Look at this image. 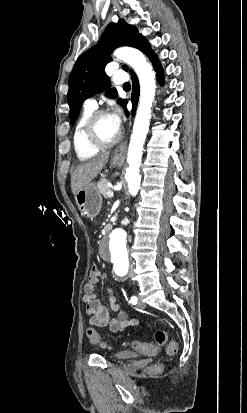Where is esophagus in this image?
Segmentation results:
<instances>
[{
  "label": "esophagus",
  "instance_id": "1",
  "mask_svg": "<svg viewBox=\"0 0 247 413\" xmlns=\"http://www.w3.org/2000/svg\"><path fill=\"white\" fill-rule=\"evenodd\" d=\"M126 150H127V140L123 141L122 143H120V145H118L115 150H114V155L121 159L124 160L125 156H126Z\"/></svg>",
  "mask_w": 247,
  "mask_h": 413
}]
</instances>
